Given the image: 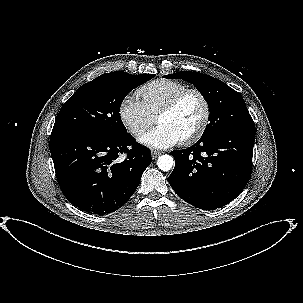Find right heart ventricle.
<instances>
[{"label": "right heart ventricle", "mask_w": 303, "mask_h": 303, "mask_svg": "<svg viewBox=\"0 0 303 303\" xmlns=\"http://www.w3.org/2000/svg\"><path fill=\"white\" fill-rule=\"evenodd\" d=\"M186 89L187 85L181 82L157 79L140 87L137 93L149 113L155 117L173 97Z\"/></svg>", "instance_id": "e07e8e85"}]
</instances>
